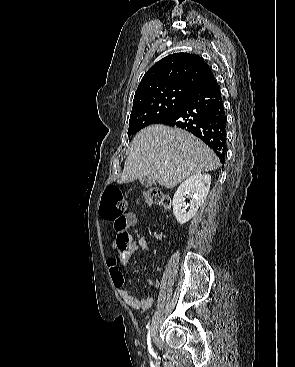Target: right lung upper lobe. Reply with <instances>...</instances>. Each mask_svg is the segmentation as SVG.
<instances>
[{"instance_id": "cb5924a9", "label": "right lung upper lobe", "mask_w": 295, "mask_h": 367, "mask_svg": "<svg viewBox=\"0 0 295 367\" xmlns=\"http://www.w3.org/2000/svg\"><path fill=\"white\" fill-rule=\"evenodd\" d=\"M213 81L215 77L211 69L199 55L172 54L158 61L145 73L135 92L134 101L170 89L193 93Z\"/></svg>"}]
</instances>
